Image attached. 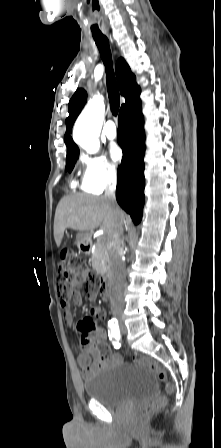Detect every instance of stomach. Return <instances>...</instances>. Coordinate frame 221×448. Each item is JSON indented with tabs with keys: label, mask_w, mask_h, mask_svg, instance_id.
Here are the masks:
<instances>
[{
	"label": "stomach",
	"mask_w": 221,
	"mask_h": 448,
	"mask_svg": "<svg viewBox=\"0 0 221 448\" xmlns=\"http://www.w3.org/2000/svg\"><path fill=\"white\" fill-rule=\"evenodd\" d=\"M87 238H88V234H86V233H79L78 235H77V242L80 244V243H83V242H85L86 240H87Z\"/></svg>",
	"instance_id": "stomach-1"
}]
</instances>
